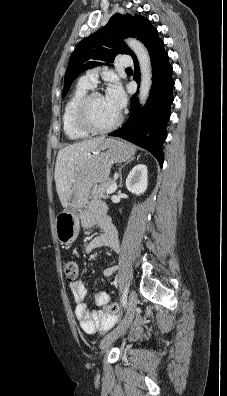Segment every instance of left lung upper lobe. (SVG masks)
I'll return each mask as SVG.
<instances>
[{
    "instance_id": "left-lung-upper-lobe-1",
    "label": "left lung upper lobe",
    "mask_w": 227,
    "mask_h": 396,
    "mask_svg": "<svg viewBox=\"0 0 227 396\" xmlns=\"http://www.w3.org/2000/svg\"><path fill=\"white\" fill-rule=\"evenodd\" d=\"M126 36L136 37L146 47L159 38L157 30L143 16L113 15L106 26L77 45L65 73L63 97L81 72L100 65V61L112 62L117 54H129L135 58L123 41Z\"/></svg>"
}]
</instances>
